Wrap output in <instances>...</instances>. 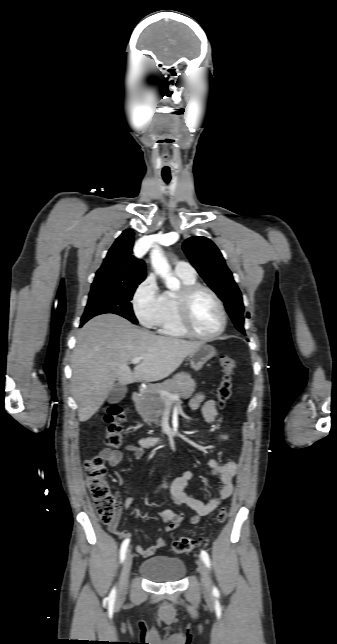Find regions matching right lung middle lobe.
I'll list each match as a JSON object with an SVG mask.
<instances>
[{
  "mask_svg": "<svg viewBox=\"0 0 337 644\" xmlns=\"http://www.w3.org/2000/svg\"><path fill=\"white\" fill-rule=\"evenodd\" d=\"M135 283H99L92 284L88 303L81 322L85 323L94 316L113 313L136 324L131 300L137 286Z\"/></svg>",
  "mask_w": 337,
  "mask_h": 644,
  "instance_id": "right-lung-middle-lobe-1",
  "label": "right lung middle lobe"
}]
</instances>
